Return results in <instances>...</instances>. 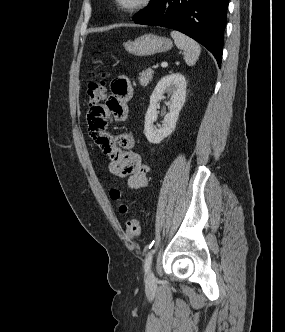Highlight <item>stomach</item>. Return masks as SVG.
I'll return each instance as SVG.
<instances>
[{
    "mask_svg": "<svg viewBox=\"0 0 285 332\" xmlns=\"http://www.w3.org/2000/svg\"><path fill=\"white\" fill-rule=\"evenodd\" d=\"M172 41L166 37L154 34H145L134 41H127L125 49L136 56H150L156 53L166 52L172 48Z\"/></svg>",
    "mask_w": 285,
    "mask_h": 332,
    "instance_id": "obj_1",
    "label": "stomach"
}]
</instances>
